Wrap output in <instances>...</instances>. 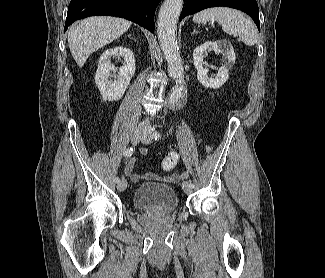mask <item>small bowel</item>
<instances>
[{"mask_svg":"<svg viewBox=\"0 0 325 278\" xmlns=\"http://www.w3.org/2000/svg\"><path fill=\"white\" fill-rule=\"evenodd\" d=\"M140 155L144 156L148 154V149L146 148H142L139 152ZM135 165H136V159L132 158L131 160H129L127 162V164L125 165L124 168V173L130 178L131 182L133 183H137L140 180V175L135 173L134 169H135ZM188 177V173L187 172H182V173H174L171 177L168 178V180L173 181V182H178L182 179H185ZM142 178L144 179H155L156 175L148 173V174H144L142 176Z\"/></svg>","mask_w":325,"mask_h":278,"instance_id":"small-bowel-1","label":"small bowel"}]
</instances>
